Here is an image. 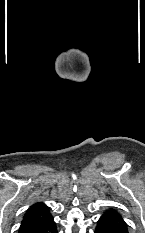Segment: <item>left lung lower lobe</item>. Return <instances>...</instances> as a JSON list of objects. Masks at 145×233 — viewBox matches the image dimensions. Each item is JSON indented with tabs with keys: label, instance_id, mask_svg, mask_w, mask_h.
Returning <instances> with one entry per match:
<instances>
[{
	"label": "left lung lower lobe",
	"instance_id": "1",
	"mask_svg": "<svg viewBox=\"0 0 145 233\" xmlns=\"http://www.w3.org/2000/svg\"><path fill=\"white\" fill-rule=\"evenodd\" d=\"M95 233H123V232L115 229L107 222H104L99 219L95 228Z\"/></svg>",
	"mask_w": 145,
	"mask_h": 233
}]
</instances>
